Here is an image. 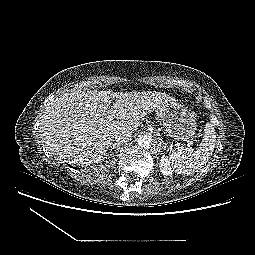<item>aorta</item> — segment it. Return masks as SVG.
<instances>
[{
  "label": "aorta",
  "instance_id": "obj_1",
  "mask_svg": "<svg viewBox=\"0 0 255 255\" xmlns=\"http://www.w3.org/2000/svg\"><path fill=\"white\" fill-rule=\"evenodd\" d=\"M138 145L142 148L149 149L153 145V139L149 135H141L138 137Z\"/></svg>",
  "mask_w": 255,
  "mask_h": 255
}]
</instances>
